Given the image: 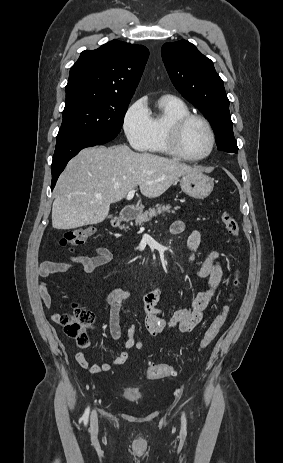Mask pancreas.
<instances>
[{"label": "pancreas", "instance_id": "pancreas-1", "mask_svg": "<svg viewBox=\"0 0 283 463\" xmlns=\"http://www.w3.org/2000/svg\"><path fill=\"white\" fill-rule=\"evenodd\" d=\"M179 207H175L172 209V207L168 205H159L157 204L154 208L149 209L148 211H145L144 213L138 215L135 220V225H143L146 222H149L153 217H156L157 215H160L164 212L167 214L170 213H175L176 210H178ZM128 229L127 227H122V229Z\"/></svg>", "mask_w": 283, "mask_h": 463}]
</instances>
